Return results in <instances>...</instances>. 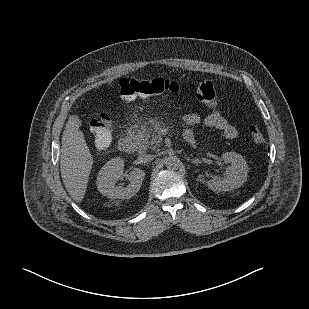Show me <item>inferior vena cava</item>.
<instances>
[{
	"instance_id": "inferior-vena-cava-1",
	"label": "inferior vena cava",
	"mask_w": 309,
	"mask_h": 309,
	"mask_svg": "<svg viewBox=\"0 0 309 309\" xmlns=\"http://www.w3.org/2000/svg\"><path fill=\"white\" fill-rule=\"evenodd\" d=\"M154 159V155L151 154H141L138 156V163L139 164H147Z\"/></svg>"
}]
</instances>
